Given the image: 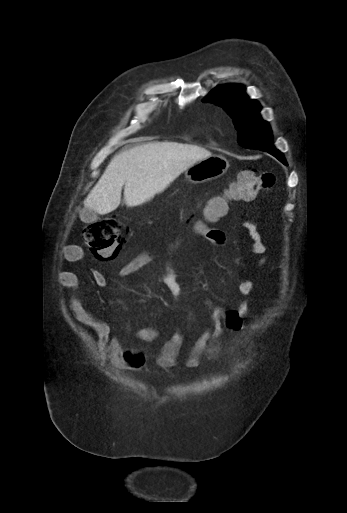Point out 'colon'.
Masks as SVG:
<instances>
[{
    "mask_svg": "<svg viewBox=\"0 0 347 513\" xmlns=\"http://www.w3.org/2000/svg\"><path fill=\"white\" fill-rule=\"evenodd\" d=\"M276 177L274 173L244 170L223 194L212 196L206 203L204 222L196 227H209L208 224L222 219L228 212L231 200L251 201L261 192L272 188ZM84 238L98 260L110 261L117 258L124 244V228L119 219L108 217L91 223L84 229Z\"/></svg>",
    "mask_w": 347,
    "mask_h": 513,
    "instance_id": "obj_1",
    "label": "colon"
}]
</instances>
